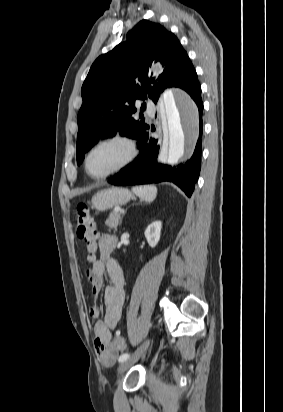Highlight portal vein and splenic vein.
Returning a JSON list of instances; mask_svg holds the SVG:
<instances>
[{
    "label": "portal vein and splenic vein",
    "mask_w": 283,
    "mask_h": 412,
    "mask_svg": "<svg viewBox=\"0 0 283 412\" xmlns=\"http://www.w3.org/2000/svg\"><path fill=\"white\" fill-rule=\"evenodd\" d=\"M120 210L121 209L119 207H115V209H114L115 212H120Z\"/></svg>",
    "instance_id": "obj_1"
}]
</instances>
